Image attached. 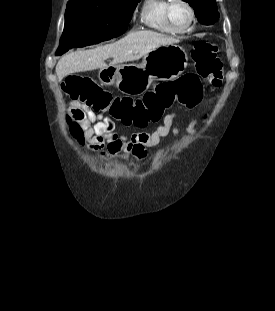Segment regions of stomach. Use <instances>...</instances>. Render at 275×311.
<instances>
[{
	"mask_svg": "<svg viewBox=\"0 0 275 311\" xmlns=\"http://www.w3.org/2000/svg\"><path fill=\"white\" fill-rule=\"evenodd\" d=\"M188 56L176 44L161 45L143 57L140 64L111 65L100 69L98 77L102 84L115 85L129 96L144 93L155 78L172 80L187 67Z\"/></svg>",
	"mask_w": 275,
	"mask_h": 311,
	"instance_id": "0dacf381",
	"label": "stomach"
}]
</instances>
